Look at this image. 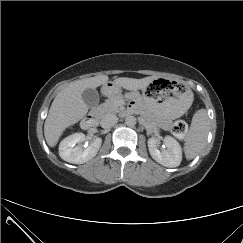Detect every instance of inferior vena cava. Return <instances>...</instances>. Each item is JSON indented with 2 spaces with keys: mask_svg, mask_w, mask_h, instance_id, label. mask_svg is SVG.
<instances>
[{
  "mask_svg": "<svg viewBox=\"0 0 243 243\" xmlns=\"http://www.w3.org/2000/svg\"><path fill=\"white\" fill-rule=\"evenodd\" d=\"M118 122V117L114 114H106L103 116L100 124L103 128H111Z\"/></svg>",
  "mask_w": 243,
  "mask_h": 243,
  "instance_id": "inferior-vena-cava-1",
  "label": "inferior vena cava"
}]
</instances>
